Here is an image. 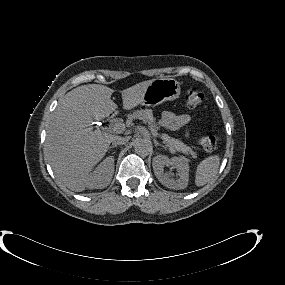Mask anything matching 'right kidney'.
<instances>
[{
    "label": "right kidney",
    "mask_w": 285,
    "mask_h": 285,
    "mask_svg": "<svg viewBox=\"0 0 285 285\" xmlns=\"http://www.w3.org/2000/svg\"><path fill=\"white\" fill-rule=\"evenodd\" d=\"M114 174V158L107 157L90 174L87 187L90 189H103L107 187Z\"/></svg>",
    "instance_id": "ca27d5eb"
}]
</instances>
